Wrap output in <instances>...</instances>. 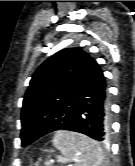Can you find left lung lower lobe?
Returning <instances> with one entry per match:
<instances>
[{
    "mask_svg": "<svg viewBox=\"0 0 135 166\" xmlns=\"http://www.w3.org/2000/svg\"><path fill=\"white\" fill-rule=\"evenodd\" d=\"M110 105L107 84L94 59L83 68L68 96L66 106L47 123L28 121L22 124V146L57 130L83 133L105 141L109 135Z\"/></svg>",
    "mask_w": 135,
    "mask_h": 166,
    "instance_id": "0a47b994",
    "label": "left lung lower lobe"
}]
</instances>
